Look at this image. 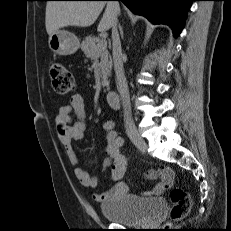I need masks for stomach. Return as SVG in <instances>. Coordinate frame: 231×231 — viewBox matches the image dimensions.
I'll return each mask as SVG.
<instances>
[{
  "mask_svg": "<svg viewBox=\"0 0 231 231\" xmlns=\"http://www.w3.org/2000/svg\"><path fill=\"white\" fill-rule=\"evenodd\" d=\"M48 44L50 49L58 55H71L78 50L79 39L72 32L57 30L49 36Z\"/></svg>",
  "mask_w": 231,
  "mask_h": 231,
  "instance_id": "1",
  "label": "stomach"
}]
</instances>
